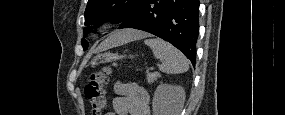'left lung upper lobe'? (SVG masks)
I'll return each instance as SVG.
<instances>
[{
    "label": "left lung upper lobe",
    "instance_id": "left-lung-upper-lobe-1",
    "mask_svg": "<svg viewBox=\"0 0 285 115\" xmlns=\"http://www.w3.org/2000/svg\"><path fill=\"white\" fill-rule=\"evenodd\" d=\"M138 0H88L85 10V34L93 29L95 25L99 26L101 22L113 21L120 22L125 15L132 9ZM84 50L88 47V42L82 39Z\"/></svg>",
    "mask_w": 285,
    "mask_h": 115
}]
</instances>
